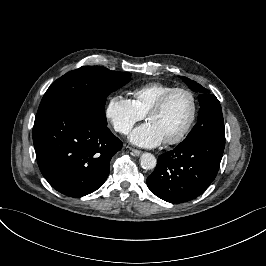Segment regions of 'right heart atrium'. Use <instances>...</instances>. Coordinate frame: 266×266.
I'll return each mask as SVG.
<instances>
[{
    "label": "right heart atrium",
    "instance_id": "d8ad5b80",
    "mask_svg": "<svg viewBox=\"0 0 266 266\" xmlns=\"http://www.w3.org/2000/svg\"><path fill=\"white\" fill-rule=\"evenodd\" d=\"M105 117L115 131L127 134L143 118V115L135 108L131 99L113 95L107 100Z\"/></svg>",
    "mask_w": 266,
    "mask_h": 266
}]
</instances>
